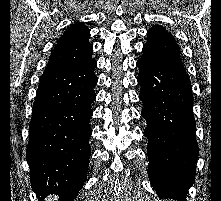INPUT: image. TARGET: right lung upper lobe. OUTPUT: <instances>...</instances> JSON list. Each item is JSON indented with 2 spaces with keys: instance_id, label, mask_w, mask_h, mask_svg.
I'll return each instance as SVG.
<instances>
[{
  "instance_id": "cb5924a9",
  "label": "right lung upper lobe",
  "mask_w": 221,
  "mask_h": 201,
  "mask_svg": "<svg viewBox=\"0 0 221 201\" xmlns=\"http://www.w3.org/2000/svg\"><path fill=\"white\" fill-rule=\"evenodd\" d=\"M89 37L90 32L85 24H72L59 38L49 57L47 68L78 69L94 63Z\"/></svg>"
}]
</instances>
